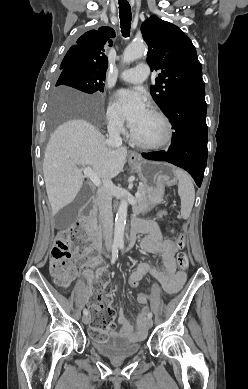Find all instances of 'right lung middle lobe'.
Returning <instances> with one entry per match:
<instances>
[{
    "label": "right lung middle lobe",
    "mask_w": 248,
    "mask_h": 389,
    "mask_svg": "<svg viewBox=\"0 0 248 389\" xmlns=\"http://www.w3.org/2000/svg\"><path fill=\"white\" fill-rule=\"evenodd\" d=\"M60 69H63V71L56 86L67 85L89 94L104 91V77L74 67H61ZM74 109L91 118H94L98 113V108L93 103H78L74 105Z\"/></svg>",
    "instance_id": "right-lung-middle-lobe-1"
}]
</instances>
